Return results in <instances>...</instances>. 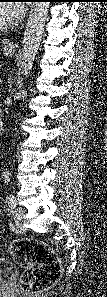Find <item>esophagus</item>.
<instances>
[{
  "instance_id": "1",
  "label": "esophagus",
  "mask_w": 107,
  "mask_h": 297,
  "mask_svg": "<svg viewBox=\"0 0 107 297\" xmlns=\"http://www.w3.org/2000/svg\"><path fill=\"white\" fill-rule=\"evenodd\" d=\"M7 47L14 48V45L13 44H8Z\"/></svg>"
}]
</instances>
